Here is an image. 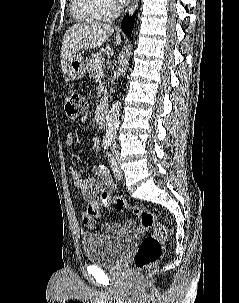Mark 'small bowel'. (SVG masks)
Listing matches in <instances>:
<instances>
[{
  "label": "small bowel",
  "mask_w": 239,
  "mask_h": 303,
  "mask_svg": "<svg viewBox=\"0 0 239 303\" xmlns=\"http://www.w3.org/2000/svg\"><path fill=\"white\" fill-rule=\"evenodd\" d=\"M75 142V135L73 133L68 134L66 138V144L72 147ZM93 174L92 177L83 178L81 172L76 169H71V176L74 181L75 187L81 192L84 201H92L95 205L98 202L95 200L96 194L104 189L114 190L115 184L109 174L108 169L103 164H97L91 168ZM84 224L94 229L96 227V221L94 218L89 217L87 214H83ZM135 223L132 220H127L124 225L113 222H106L101 225V231L103 233L120 234L123 231H131L135 229Z\"/></svg>",
  "instance_id": "1"
}]
</instances>
